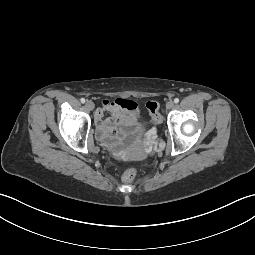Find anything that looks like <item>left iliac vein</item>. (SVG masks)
I'll return each instance as SVG.
<instances>
[{
    "label": "left iliac vein",
    "instance_id": "1",
    "mask_svg": "<svg viewBox=\"0 0 255 255\" xmlns=\"http://www.w3.org/2000/svg\"><path fill=\"white\" fill-rule=\"evenodd\" d=\"M174 107V102L172 100L168 101L166 104L167 109H172Z\"/></svg>",
    "mask_w": 255,
    "mask_h": 255
}]
</instances>
